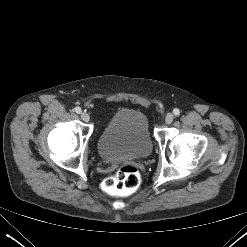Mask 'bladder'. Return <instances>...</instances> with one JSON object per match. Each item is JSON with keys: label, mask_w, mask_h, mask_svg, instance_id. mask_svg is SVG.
<instances>
[{"label": "bladder", "mask_w": 247, "mask_h": 247, "mask_svg": "<svg viewBox=\"0 0 247 247\" xmlns=\"http://www.w3.org/2000/svg\"><path fill=\"white\" fill-rule=\"evenodd\" d=\"M152 147L147 116L130 108L113 115L97 142L98 153L106 162L146 158Z\"/></svg>", "instance_id": "bladder-1"}]
</instances>
